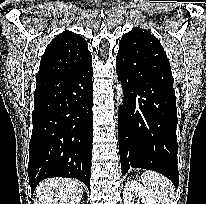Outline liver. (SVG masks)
I'll return each mask as SVG.
<instances>
[{
  "label": "liver",
  "mask_w": 206,
  "mask_h": 204,
  "mask_svg": "<svg viewBox=\"0 0 206 204\" xmlns=\"http://www.w3.org/2000/svg\"><path fill=\"white\" fill-rule=\"evenodd\" d=\"M35 204H78L83 196L82 184L75 179L50 178L36 187Z\"/></svg>",
  "instance_id": "6515ba94"
}]
</instances>
